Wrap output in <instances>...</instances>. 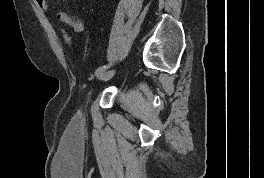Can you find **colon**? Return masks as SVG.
Here are the masks:
<instances>
[{
  "instance_id": "1",
  "label": "colon",
  "mask_w": 264,
  "mask_h": 178,
  "mask_svg": "<svg viewBox=\"0 0 264 178\" xmlns=\"http://www.w3.org/2000/svg\"><path fill=\"white\" fill-rule=\"evenodd\" d=\"M66 41L69 43L70 42V38L69 37H66Z\"/></svg>"
}]
</instances>
